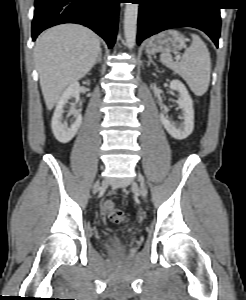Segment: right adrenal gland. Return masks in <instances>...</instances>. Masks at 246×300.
<instances>
[{"mask_svg":"<svg viewBox=\"0 0 246 300\" xmlns=\"http://www.w3.org/2000/svg\"><path fill=\"white\" fill-rule=\"evenodd\" d=\"M101 58H102V51L99 52V55L94 65H96L98 62H101Z\"/></svg>","mask_w":246,"mask_h":300,"instance_id":"right-adrenal-gland-1","label":"right adrenal gland"}]
</instances>
